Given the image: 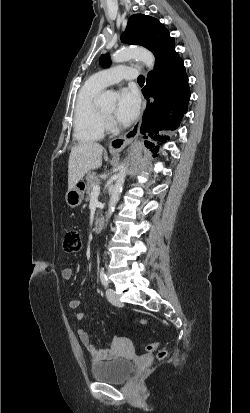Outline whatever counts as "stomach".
Listing matches in <instances>:
<instances>
[{"instance_id": "1", "label": "stomach", "mask_w": 250, "mask_h": 413, "mask_svg": "<svg viewBox=\"0 0 250 413\" xmlns=\"http://www.w3.org/2000/svg\"><path fill=\"white\" fill-rule=\"evenodd\" d=\"M85 186L86 185H84L83 181H79L72 189L67 191L65 200L68 206L75 208L82 203L84 199Z\"/></svg>"}]
</instances>
